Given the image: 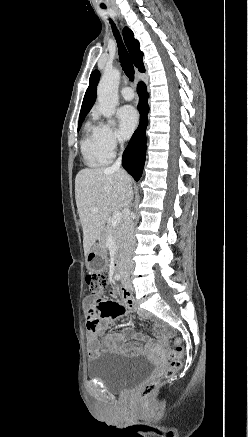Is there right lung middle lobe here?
<instances>
[{
	"label": "right lung middle lobe",
	"instance_id": "obj_1",
	"mask_svg": "<svg viewBox=\"0 0 248 437\" xmlns=\"http://www.w3.org/2000/svg\"><path fill=\"white\" fill-rule=\"evenodd\" d=\"M84 118H85V117H83V118H80V119H79V123H78V130L80 129V127H81V124H82V122H83Z\"/></svg>",
	"mask_w": 248,
	"mask_h": 437
}]
</instances>
